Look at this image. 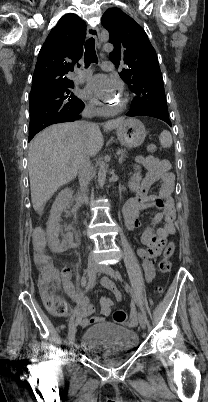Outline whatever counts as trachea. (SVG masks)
I'll return each mask as SVG.
<instances>
[{
	"mask_svg": "<svg viewBox=\"0 0 208 402\" xmlns=\"http://www.w3.org/2000/svg\"><path fill=\"white\" fill-rule=\"evenodd\" d=\"M85 66L89 67L91 63H97L98 58L95 51V40L93 37L89 38L85 42V56H84Z\"/></svg>",
	"mask_w": 208,
	"mask_h": 402,
	"instance_id": "trachea-1",
	"label": "trachea"
}]
</instances>
